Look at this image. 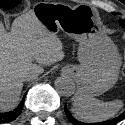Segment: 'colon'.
Listing matches in <instances>:
<instances>
[{"label": "colon", "instance_id": "obj_1", "mask_svg": "<svg viewBox=\"0 0 125 125\" xmlns=\"http://www.w3.org/2000/svg\"><path fill=\"white\" fill-rule=\"evenodd\" d=\"M123 76L125 77V52H124Z\"/></svg>", "mask_w": 125, "mask_h": 125}]
</instances>
